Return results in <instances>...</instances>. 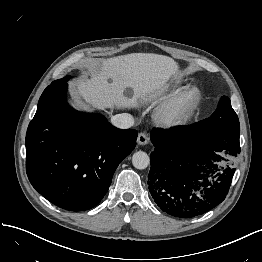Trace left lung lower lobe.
<instances>
[{
	"instance_id": "obj_1",
	"label": "left lung lower lobe",
	"mask_w": 262,
	"mask_h": 262,
	"mask_svg": "<svg viewBox=\"0 0 262 262\" xmlns=\"http://www.w3.org/2000/svg\"><path fill=\"white\" fill-rule=\"evenodd\" d=\"M240 131L209 133L194 125L174 131L155 128L151 141L149 191L169 215L192 218L219 205L235 172Z\"/></svg>"
}]
</instances>
